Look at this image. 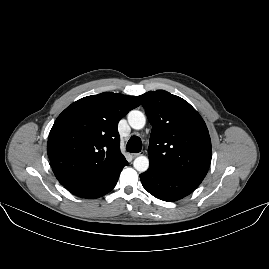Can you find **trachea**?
Wrapping results in <instances>:
<instances>
[{
    "instance_id": "trachea-1",
    "label": "trachea",
    "mask_w": 269,
    "mask_h": 269,
    "mask_svg": "<svg viewBox=\"0 0 269 269\" xmlns=\"http://www.w3.org/2000/svg\"><path fill=\"white\" fill-rule=\"evenodd\" d=\"M126 149L128 152L138 153L142 149L141 139L137 136H132L126 145Z\"/></svg>"
}]
</instances>
